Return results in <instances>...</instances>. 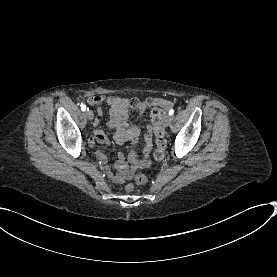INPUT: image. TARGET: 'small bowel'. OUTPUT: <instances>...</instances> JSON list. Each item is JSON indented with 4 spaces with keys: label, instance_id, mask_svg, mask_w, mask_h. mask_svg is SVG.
<instances>
[{
    "label": "small bowel",
    "instance_id": "1",
    "mask_svg": "<svg viewBox=\"0 0 277 277\" xmlns=\"http://www.w3.org/2000/svg\"><path fill=\"white\" fill-rule=\"evenodd\" d=\"M89 104L95 105L97 103L105 104L108 103L110 106L109 113L110 118L108 121V127L115 130L114 139L118 143H123L126 140H129L131 144L137 143L140 135V130L136 126H130L128 124L129 110H128V100L122 97L109 96L102 94L95 97L91 96L88 99ZM148 104L151 106L157 105L162 108V111L171 108V101L164 98H153ZM147 102H141L139 106L140 114L146 109ZM97 123V120L95 121ZM153 129L151 125L147 126V131L144 135L145 146H144V156L139 159L136 157L134 150L129 152V161L130 165L124 162V155L119 154L118 161L115 165L118 173L113 175L109 172V177L115 183H123L126 180H130L136 170H141L147 168L150 165L149 153L152 146L153 139ZM96 141L107 142L108 138L101 130H97L93 138L90 139L89 143L91 146H94ZM116 149H119V146H116ZM121 149H127V146H121ZM112 150H115V145H112ZM97 156L100 160L105 161V156L101 152H97ZM123 161V162H121ZM105 171H108V168H105Z\"/></svg>",
    "mask_w": 277,
    "mask_h": 277
}]
</instances>
